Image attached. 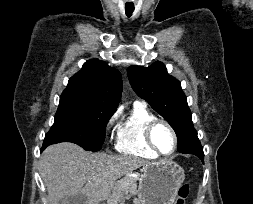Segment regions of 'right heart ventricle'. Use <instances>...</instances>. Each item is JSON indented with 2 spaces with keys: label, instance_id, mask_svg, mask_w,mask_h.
I'll return each mask as SVG.
<instances>
[{
  "label": "right heart ventricle",
  "instance_id": "obj_1",
  "mask_svg": "<svg viewBox=\"0 0 253 204\" xmlns=\"http://www.w3.org/2000/svg\"><path fill=\"white\" fill-rule=\"evenodd\" d=\"M155 116L142 104L135 103L130 115L117 130L116 149L124 154L155 159L158 155L152 151L145 140V128Z\"/></svg>",
  "mask_w": 253,
  "mask_h": 204
}]
</instances>
